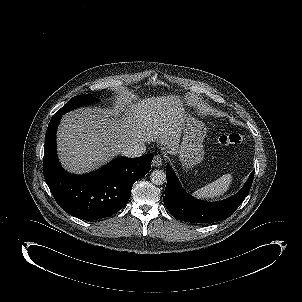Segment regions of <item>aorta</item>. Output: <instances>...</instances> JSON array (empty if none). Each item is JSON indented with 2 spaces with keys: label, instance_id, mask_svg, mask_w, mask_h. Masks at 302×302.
I'll list each match as a JSON object with an SVG mask.
<instances>
[{
  "label": "aorta",
  "instance_id": "762f6f07",
  "mask_svg": "<svg viewBox=\"0 0 302 302\" xmlns=\"http://www.w3.org/2000/svg\"><path fill=\"white\" fill-rule=\"evenodd\" d=\"M151 182L155 185H162L166 182V173L163 170H154L150 175Z\"/></svg>",
  "mask_w": 302,
  "mask_h": 302
}]
</instances>
